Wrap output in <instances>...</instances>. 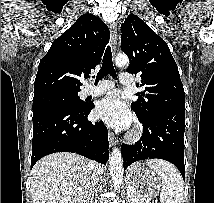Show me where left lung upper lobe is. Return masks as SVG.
Returning <instances> with one entry per match:
<instances>
[{
	"mask_svg": "<svg viewBox=\"0 0 214 203\" xmlns=\"http://www.w3.org/2000/svg\"><path fill=\"white\" fill-rule=\"evenodd\" d=\"M121 30V50L131 60L126 71L139 74L140 86L145 87L131 104L136 115L144 118L159 110L185 111L184 88L167 43L134 14Z\"/></svg>",
	"mask_w": 214,
	"mask_h": 203,
	"instance_id": "left-lung-upper-lobe-1",
	"label": "left lung upper lobe"
}]
</instances>
